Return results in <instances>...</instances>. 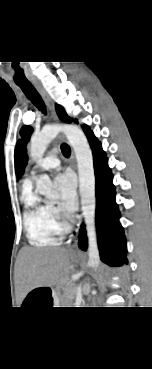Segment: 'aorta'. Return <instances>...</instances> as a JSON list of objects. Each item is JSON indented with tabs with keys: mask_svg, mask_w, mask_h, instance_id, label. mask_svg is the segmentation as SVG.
Wrapping results in <instances>:
<instances>
[{
	"mask_svg": "<svg viewBox=\"0 0 152 369\" xmlns=\"http://www.w3.org/2000/svg\"><path fill=\"white\" fill-rule=\"evenodd\" d=\"M60 132L65 134L77 159L81 209L88 237V265L96 270L100 263V255L95 227V175L92 152L83 131L75 125H46L31 137L30 155L33 159H41L49 143ZM37 191L47 198L57 196V190L46 174L41 175L37 181Z\"/></svg>",
	"mask_w": 152,
	"mask_h": 369,
	"instance_id": "1",
	"label": "aorta"
}]
</instances>
